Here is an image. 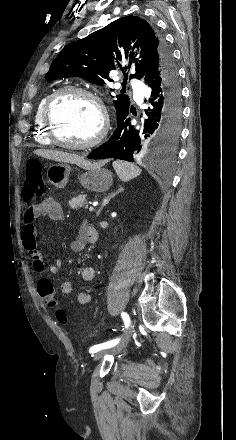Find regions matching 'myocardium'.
<instances>
[{"label":"myocardium","instance_id":"1","mask_svg":"<svg viewBox=\"0 0 236 440\" xmlns=\"http://www.w3.org/2000/svg\"><path fill=\"white\" fill-rule=\"evenodd\" d=\"M67 95H80L86 97L90 99L98 109L100 118L98 131L92 139L85 143H66L60 140L55 133L52 120V109L60 98ZM42 124L52 144L70 150H86L95 147L104 139L109 127V116L103 100L97 94L85 88L68 86L55 91L48 97L42 112Z\"/></svg>","mask_w":236,"mask_h":440}]
</instances>
